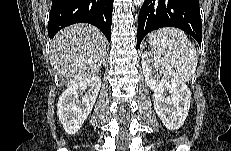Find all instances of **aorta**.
<instances>
[{
  "label": "aorta",
  "mask_w": 231,
  "mask_h": 151,
  "mask_svg": "<svg viewBox=\"0 0 231 151\" xmlns=\"http://www.w3.org/2000/svg\"><path fill=\"white\" fill-rule=\"evenodd\" d=\"M144 3V0H134V5L137 7H141Z\"/></svg>",
  "instance_id": "762f6f07"
}]
</instances>
